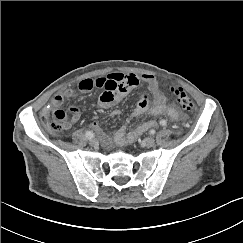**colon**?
Wrapping results in <instances>:
<instances>
[{
	"instance_id": "1",
	"label": "colon",
	"mask_w": 243,
	"mask_h": 243,
	"mask_svg": "<svg viewBox=\"0 0 243 243\" xmlns=\"http://www.w3.org/2000/svg\"><path fill=\"white\" fill-rule=\"evenodd\" d=\"M171 92L175 101L182 109L187 111L194 109L193 101L182 88H172ZM42 122L52 133H62L67 129L66 115L62 110H57L52 115L50 113L43 115Z\"/></svg>"
}]
</instances>
